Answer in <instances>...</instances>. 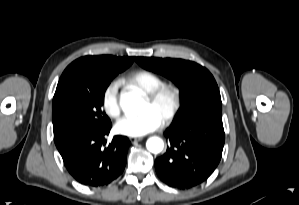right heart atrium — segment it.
I'll return each instance as SVG.
<instances>
[{
    "label": "right heart atrium",
    "mask_w": 299,
    "mask_h": 205,
    "mask_svg": "<svg viewBox=\"0 0 299 205\" xmlns=\"http://www.w3.org/2000/svg\"><path fill=\"white\" fill-rule=\"evenodd\" d=\"M118 88L119 82L116 80L111 81L104 88L101 97V104L105 113L112 118L118 117L121 111Z\"/></svg>",
    "instance_id": "d8ad5b80"
}]
</instances>
